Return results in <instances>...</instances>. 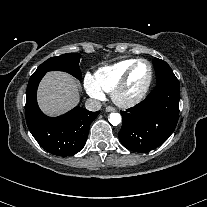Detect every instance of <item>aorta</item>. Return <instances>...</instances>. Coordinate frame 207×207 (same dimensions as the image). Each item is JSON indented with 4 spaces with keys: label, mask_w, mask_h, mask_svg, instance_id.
I'll return each mask as SVG.
<instances>
[{
    "label": "aorta",
    "mask_w": 207,
    "mask_h": 207,
    "mask_svg": "<svg viewBox=\"0 0 207 207\" xmlns=\"http://www.w3.org/2000/svg\"><path fill=\"white\" fill-rule=\"evenodd\" d=\"M121 120V115L119 113L113 112L109 115V122L113 126H117L118 124H120Z\"/></svg>",
    "instance_id": "762f6f07"
}]
</instances>
